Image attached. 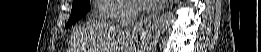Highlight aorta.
<instances>
[{
  "mask_svg": "<svg viewBox=\"0 0 261 52\" xmlns=\"http://www.w3.org/2000/svg\"><path fill=\"white\" fill-rule=\"evenodd\" d=\"M174 18V13L169 11L163 13L159 16L153 24L144 32V42L145 46L140 49V52H148L151 49H154L158 39L161 37L163 32L171 23L172 19Z\"/></svg>",
  "mask_w": 261,
  "mask_h": 52,
  "instance_id": "aorta-1",
  "label": "aorta"
}]
</instances>
